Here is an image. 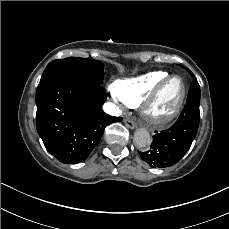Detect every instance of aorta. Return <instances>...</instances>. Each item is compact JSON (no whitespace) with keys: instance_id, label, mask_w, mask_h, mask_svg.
Listing matches in <instances>:
<instances>
[{"instance_id":"obj_1","label":"aorta","mask_w":229,"mask_h":229,"mask_svg":"<svg viewBox=\"0 0 229 229\" xmlns=\"http://www.w3.org/2000/svg\"><path fill=\"white\" fill-rule=\"evenodd\" d=\"M150 134L144 129L140 128L134 133V143L139 148H146L150 144Z\"/></svg>"}]
</instances>
